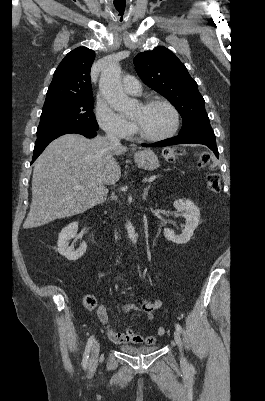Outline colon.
I'll return each mask as SVG.
<instances>
[{
    "mask_svg": "<svg viewBox=\"0 0 265 401\" xmlns=\"http://www.w3.org/2000/svg\"><path fill=\"white\" fill-rule=\"evenodd\" d=\"M163 156L167 161L175 162L180 161L186 157V152L184 149L169 147L163 150ZM198 163L204 168H208L209 171L206 177L207 188L213 193H219L221 189V179L219 174L210 164L209 156L206 153L199 154ZM85 305L89 309H93L96 305V301L92 296H87L85 299ZM158 335L163 336L166 333L165 328L160 327L158 329Z\"/></svg>",
    "mask_w": 265,
    "mask_h": 401,
    "instance_id": "5ec220e1",
    "label": "colon"
}]
</instances>
